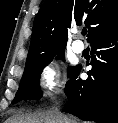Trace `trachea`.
Listing matches in <instances>:
<instances>
[{
    "instance_id": "obj_1",
    "label": "trachea",
    "mask_w": 118,
    "mask_h": 123,
    "mask_svg": "<svg viewBox=\"0 0 118 123\" xmlns=\"http://www.w3.org/2000/svg\"><path fill=\"white\" fill-rule=\"evenodd\" d=\"M81 34L85 36L87 34V31H82Z\"/></svg>"
}]
</instances>
